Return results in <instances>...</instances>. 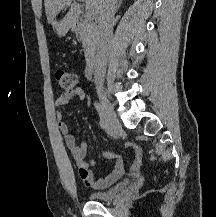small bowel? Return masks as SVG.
I'll use <instances>...</instances> for the list:
<instances>
[{
    "instance_id": "obj_1",
    "label": "small bowel",
    "mask_w": 216,
    "mask_h": 217,
    "mask_svg": "<svg viewBox=\"0 0 216 217\" xmlns=\"http://www.w3.org/2000/svg\"><path fill=\"white\" fill-rule=\"evenodd\" d=\"M87 92L82 87H75L72 90L63 91L55 100L57 107L65 106L72 100H84ZM58 129L63 137L65 147L70 152L78 167L79 175L84 184L89 187L100 189L106 188L117 182L124 174L125 163L121 154L112 152H103V157L107 160H114L112 169L104 176L96 177L91 171L94 161H86L85 158L88 152V144L86 142L77 143L74 135L69 131L68 125L63 120V115L60 111L57 112ZM129 149L133 154V161L130 168V174L135 175L141 167L140 151L138 147L131 143Z\"/></svg>"
}]
</instances>
